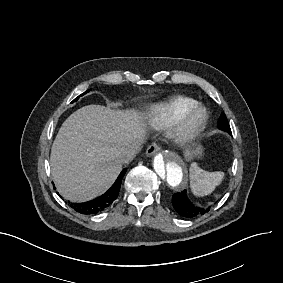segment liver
I'll return each mask as SVG.
<instances>
[{"mask_svg":"<svg viewBox=\"0 0 283 283\" xmlns=\"http://www.w3.org/2000/svg\"><path fill=\"white\" fill-rule=\"evenodd\" d=\"M146 117L135 109L84 106L62 124L50 155L57 191L72 202H86L105 193L122 170L123 150L142 143Z\"/></svg>","mask_w":283,"mask_h":283,"instance_id":"1","label":"liver"}]
</instances>
